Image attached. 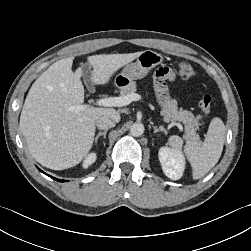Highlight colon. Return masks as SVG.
<instances>
[{
    "label": "colon",
    "mask_w": 251,
    "mask_h": 251,
    "mask_svg": "<svg viewBox=\"0 0 251 251\" xmlns=\"http://www.w3.org/2000/svg\"><path fill=\"white\" fill-rule=\"evenodd\" d=\"M195 73L194 67L188 62H181L178 65V74L182 79H191L195 76ZM211 102V96L208 94L203 95L200 99L199 106L205 114L211 112Z\"/></svg>",
    "instance_id": "5ec220e1"
}]
</instances>
